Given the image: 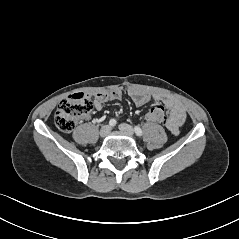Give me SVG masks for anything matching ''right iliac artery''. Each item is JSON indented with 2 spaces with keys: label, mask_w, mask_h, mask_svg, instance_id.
<instances>
[{
  "label": "right iliac artery",
  "mask_w": 239,
  "mask_h": 239,
  "mask_svg": "<svg viewBox=\"0 0 239 239\" xmlns=\"http://www.w3.org/2000/svg\"><path fill=\"white\" fill-rule=\"evenodd\" d=\"M109 125H110V126H115V125H116V120H115V119H111V120L109 121Z\"/></svg>",
  "instance_id": "82829eb1"
}]
</instances>
